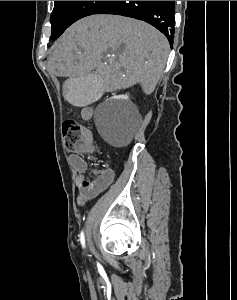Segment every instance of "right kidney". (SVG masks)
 I'll use <instances>...</instances> for the list:
<instances>
[{
    "mask_svg": "<svg viewBox=\"0 0 237 300\" xmlns=\"http://www.w3.org/2000/svg\"><path fill=\"white\" fill-rule=\"evenodd\" d=\"M121 99H129V97H127V95H121Z\"/></svg>",
    "mask_w": 237,
    "mask_h": 300,
    "instance_id": "right-kidney-1",
    "label": "right kidney"
}]
</instances>
